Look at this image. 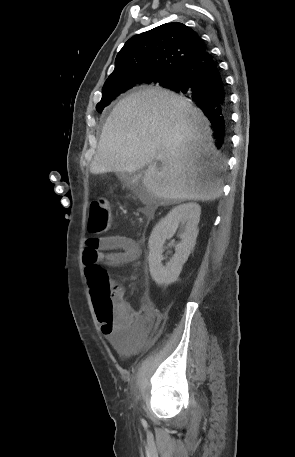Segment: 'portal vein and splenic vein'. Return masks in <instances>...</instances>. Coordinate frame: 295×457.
I'll return each mask as SVG.
<instances>
[{"label":"portal vein and splenic vein","instance_id":"obj_1","mask_svg":"<svg viewBox=\"0 0 295 457\" xmlns=\"http://www.w3.org/2000/svg\"><path fill=\"white\" fill-rule=\"evenodd\" d=\"M162 158H163L162 155H159V156L157 157L158 160H162Z\"/></svg>","mask_w":295,"mask_h":457}]
</instances>
